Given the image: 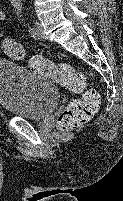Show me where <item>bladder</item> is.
Masks as SVG:
<instances>
[{"instance_id": "obj_1", "label": "bladder", "mask_w": 123, "mask_h": 201, "mask_svg": "<svg viewBox=\"0 0 123 201\" xmlns=\"http://www.w3.org/2000/svg\"><path fill=\"white\" fill-rule=\"evenodd\" d=\"M59 99V90L48 77L0 58V107L7 114L44 120L53 113Z\"/></svg>"}]
</instances>
